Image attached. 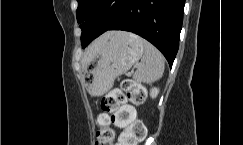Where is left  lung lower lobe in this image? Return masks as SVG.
I'll return each mask as SVG.
<instances>
[{
	"instance_id": "left-lung-lower-lobe-1",
	"label": "left lung lower lobe",
	"mask_w": 243,
	"mask_h": 145,
	"mask_svg": "<svg viewBox=\"0 0 243 145\" xmlns=\"http://www.w3.org/2000/svg\"><path fill=\"white\" fill-rule=\"evenodd\" d=\"M185 0H124L111 19L86 21L89 32L82 43L85 48L108 30H124L138 34L156 46L173 64L179 47Z\"/></svg>"
}]
</instances>
